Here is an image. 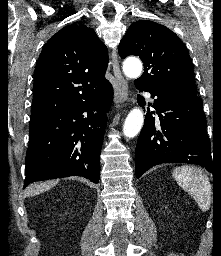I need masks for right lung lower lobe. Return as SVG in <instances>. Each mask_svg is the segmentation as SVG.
I'll list each match as a JSON object with an SVG mask.
<instances>
[{
    "mask_svg": "<svg viewBox=\"0 0 221 256\" xmlns=\"http://www.w3.org/2000/svg\"><path fill=\"white\" fill-rule=\"evenodd\" d=\"M112 101L109 86L94 97L31 120L24 186L69 176L98 183L106 114Z\"/></svg>",
    "mask_w": 221,
    "mask_h": 256,
    "instance_id": "obj_1",
    "label": "right lung lower lobe"
}]
</instances>
